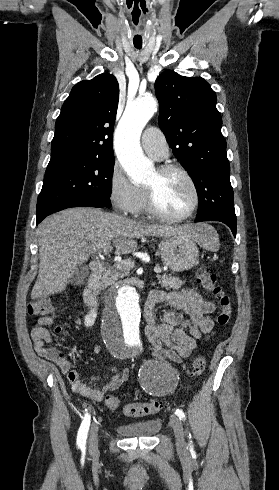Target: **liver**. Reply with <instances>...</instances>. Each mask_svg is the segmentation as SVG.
I'll list each match as a JSON object with an SVG mask.
<instances>
[{"mask_svg": "<svg viewBox=\"0 0 279 490\" xmlns=\"http://www.w3.org/2000/svg\"><path fill=\"white\" fill-rule=\"evenodd\" d=\"M204 228L205 224H141L96 208H70L52 214L38 226L40 264L31 298H46L65 290L77 266H83L90 256L101 250L109 252L111 242L116 248L115 254L121 256L135 252V238L185 234L197 242Z\"/></svg>", "mask_w": 279, "mask_h": 490, "instance_id": "1", "label": "liver"}]
</instances>
